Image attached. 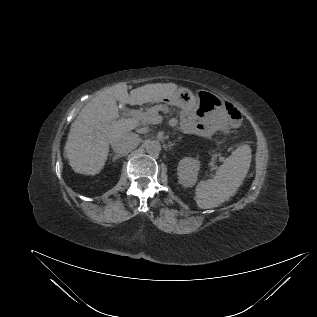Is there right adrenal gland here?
<instances>
[{
	"mask_svg": "<svg viewBox=\"0 0 317 317\" xmlns=\"http://www.w3.org/2000/svg\"><path fill=\"white\" fill-rule=\"evenodd\" d=\"M111 157H113V162H115L117 159L121 158L122 156L121 155H118V154H110Z\"/></svg>",
	"mask_w": 317,
	"mask_h": 317,
	"instance_id": "right-adrenal-gland-1",
	"label": "right adrenal gland"
}]
</instances>
